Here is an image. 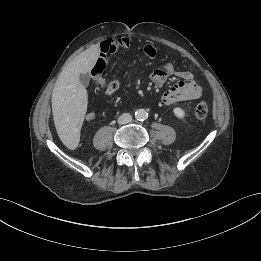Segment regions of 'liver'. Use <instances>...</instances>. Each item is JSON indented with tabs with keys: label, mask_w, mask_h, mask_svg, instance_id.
I'll return each mask as SVG.
<instances>
[{
	"label": "liver",
	"mask_w": 261,
	"mask_h": 261,
	"mask_svg": "<svg viewBox=\"0 0 261 261\" xmlns=\"http://www.w3.org/2000/svg\"><path fill=\"white\" fill-rule=\"evenodd\" d=\"M100 54L94 45L67 64L52 91L51 103L57 133L62 141L75 136L87 111L88 94L80 83V74L89 73Z\"/></svg>",
	"instance_id": "liver-1"
}]
</instances>
